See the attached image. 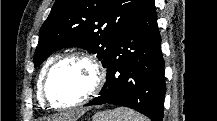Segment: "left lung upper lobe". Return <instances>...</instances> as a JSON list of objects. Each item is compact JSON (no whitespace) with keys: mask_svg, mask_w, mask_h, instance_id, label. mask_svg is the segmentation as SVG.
<instances>
[{"mask_svg":"<svg viewBox=\"0 0 217 121\" xmlns=\"http://www.w3.org/2000/svg\"><path fill=\"white\" fill-rule=\"evenodd\" d=\"M139 1L56 0L40 29L34 66L68 47L97 54L105 66Z\"/></svg>","mask_w":217,"mask_h":121,"instance_id":"5c2ea615","label":"left lung upper lobe"}]
</instances>
